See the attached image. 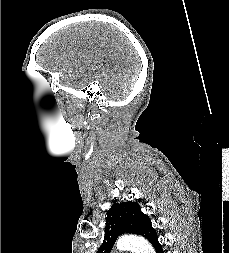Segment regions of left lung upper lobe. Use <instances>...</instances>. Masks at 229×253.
I'll return each instance as SVG.
<instances>
[{"label": "left lung upper lobe", "instance_id": "1", "mask_svg": "<svg viewBox=\"0 0 229 253\" xmlns=\"http://www.w3.org/2000/svg\"><path fill=\"white\" fill-rule=\"evenodd\" d=\"M125 232L141 235L152 245L158 240L150 218L136 202L114 203L107 211L104 241L97 253H110L117 237Z\"/></svg>", "mask_w": 229, "mask_h": 253}]
</instances>
